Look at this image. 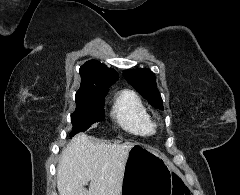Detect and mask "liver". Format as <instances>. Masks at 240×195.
Returning <instances> with one entry per match:
<instances>
[{
    "instance_id": "1",
    "label": "liver",
    "mask_w": 240,
    "mask_h": 195,
    "mask_svg": "<svg viewBox=\"0 0 240 195\" xmlns=\"http://www.w3.org/2000/svg\"><path fill=\"white\" fill-rule=\"evenodd\" d=\"M133 145L130 141H94L86 133L74 135L57 167L60 195H120L128 151Z\"/></svg>"
}]
</instances>
